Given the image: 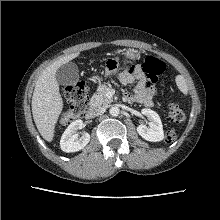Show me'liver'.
Returning a JSON list of instances; mask_svg holds the SVG:
<instances>
[{
	"instance_id": "6515ba94",
	"label": "liver",
	"mask_w": 220,
	"mask_h": 220,
	"mask_svg": "<svg viewBox=\"0 0 220 220\" xmlns=\"http://www.w3.org/2000/svg\"><path fill=\"white\" fill-rule=\"evenodd\" d=\"M78 56L79 53H73L56 60L36 81L32 96V114L39 133L48 142L53 140L55 125L63 109V100L55 78L56 71Z\"/></svg>"
}]
</instances>
